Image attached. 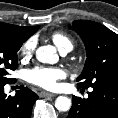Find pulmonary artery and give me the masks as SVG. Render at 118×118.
<instances>
[{
    "mask_svg": "<svg viewBox=\"0 0 118 118\" xmlns=\"http://www.w3.org/2000/svg\"><path fill=\"white\" fill-rule=\"evenodd\" d=\"M67 52H69V51H62V54H64V55H65Z\"/></svg>",
    "mask_w": 118,
    "mask_h": 118,
    "instance_id": "obj_1",
    "label": "pulmonary artery"
}]
</instances>
